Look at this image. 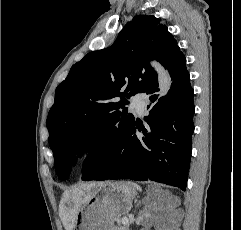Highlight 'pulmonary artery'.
I'll return each instance as SVG.
<instances>
[{
  "mask_svg": "<svg viewBox=\"0 0 241 230\" xmlns=\"http://www.w3.org/2000/svg\"><path fill=\"white\" fill-rule=\"evenodd\" d=\"M146 95L143 93L136 94L131 101V106L138 112L142 113L145 109Z\"/></svg>",
  "mask_w": 241,
  "mask_h": 230,
  "instance_id": "pulmonary-artery-1",
  "label": "pulmonary artery"
}]
</instances>
